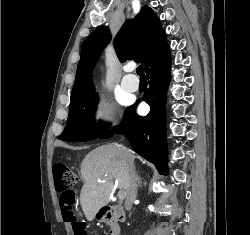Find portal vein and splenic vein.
Segmentation results:
<instances>
[{
  "label": "portal vein and splenic vein",
  "mask_w": 250,
  "mask_h": 235,
  "mask_svg": "<svg viewBox=\"0 0 250 235\" xmlns=\"http://www.w3.org/2000/svg\"><path fill=\"white\" fill-rule=\"evenodd\" d=\"M118 183V182H117ZM125 196H126V192L125 191H120L119 192V198L121 199V200H123L124 198H125Z\"/></svg>",
  "instance_id": "18ae733b"
}]
</instances>
